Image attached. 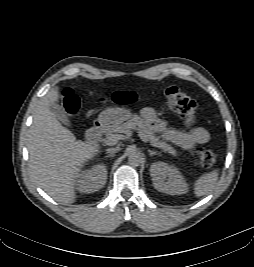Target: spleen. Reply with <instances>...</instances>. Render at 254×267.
Masks as SVG:
<instances>
[{
	"mask_svg": "<svg viewBox=\"0 0 254 267\" xmlns=\"http://www.w3.org/2000/svg\"><path fill=\"white\" fill-rule=\"evenodd\" d=\"M218 181V172L203 174L194 184V193L197 197L208 195L213 191Z\"/></svg>",
	"mask_w": 254,
	"mask_h": 267,
	"instance_id": "3e777b00",
	"label": "spleen"
}]
</instances>
